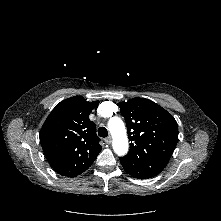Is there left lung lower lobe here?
Returning a JSON list of instances; mask_svg holds the SVG:
<instances>
[{
  "instance_id": "obj_1",
  "label": "left lung lower lobe",
  "mask_w": 221,
  "mask_h": 221,
  "mask_svg": "<svg viewBox=\"0 0 221 221\" xmlns=\"http://www.w3.org/2000/svg\"><path fill=\"white\" fill-rule=\"evenodd\" d=\"M120 162L127 173L137 179H148L158 175L165 165L161 164H144L138 165L128 160L120 158Z\"/></svg>"
}]
</instances>
